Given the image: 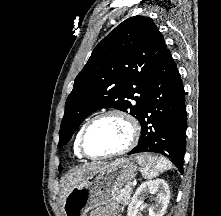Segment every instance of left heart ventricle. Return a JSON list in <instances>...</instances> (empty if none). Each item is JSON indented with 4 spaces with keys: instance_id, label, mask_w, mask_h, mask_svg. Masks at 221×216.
I'll use <instances>...</instances> for the list:
<instances>
[{
    "instance_id": "obj_1",
    "label": "left heart ventricle",
    "mask_w": 221,
    "mask_h": 216,
    "mask_svg": "<svg viewBox=\"0 0 221 216\" xmlns=\"http://www.w3.org/2000/svg\"><path fill=\"white\" fill-rule=\"evenodd\" d=\"M128 125L118 117L95 122L85 135V148L90 154H103L122 148L129 139Z\"/></svg>"
}]
</instances>
